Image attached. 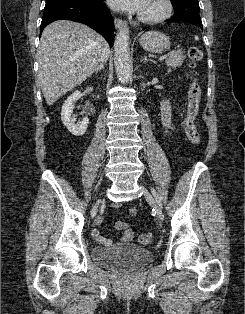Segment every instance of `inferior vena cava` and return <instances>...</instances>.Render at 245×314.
Listing matches in <instances>:
<instances>
[{"label": "inferior vena cava", "instance_id": "obj_1", "mask_svg": "<svg viewBox=\"0 0 245 314\" xmlns=\"http://www.w3.org/2000/svg\"><path fill=\"white\" fill-rule=\"evenodd\" d=\"M109 57V47L108 45H106L101 52V56H100V64L105 63L108 60Z\"/></svg>", "mask_w": 245, "mask_h": 314}]
</instances>
